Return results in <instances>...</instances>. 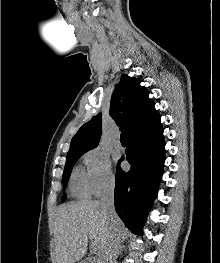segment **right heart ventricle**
<instances>
[{
  "instance_id": "right-heart-ventricle-1",
  "label": "right heart ventricle",
  "mask_w": 220,
  "mask_h": 263,
  "mask_svg": "<svg viewBox=\"0 0 220 263\" xmlns=\"http://www.w3.org/2000/svg\"><path fill=\"white\" fill-rule=\"evenodd\" d=\"M69 188L72 196L77 199L90 198L92 191L87 172L83 168L77 167L74 169L70 178Z\"/></svg>"
}]
</instances>
